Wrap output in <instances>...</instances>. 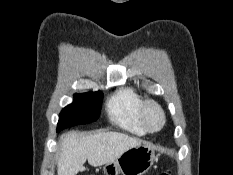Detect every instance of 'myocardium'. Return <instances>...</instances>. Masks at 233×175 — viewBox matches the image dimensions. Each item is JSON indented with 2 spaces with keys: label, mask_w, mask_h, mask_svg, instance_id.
Wrapping results in <instances>:
<instances>
[{
  "label": "myocardium",
  "mask_w": 233,
  "mask_h": 175,
  "mask_svg": "<svg viewBox=\"0 0 233 175\" xmlns=\"http://www.w3.org/2000/svg\"><path fill=\"white\" fill-rule=\"evenodd\" d=\"M150 108H154L159 113V115L161 117V124L158 128H152L149 124L148 111ZM140 118H141L143 125L145 126V128L149 132L160 131L165 126V123H166V115H165V112H164L162 106L157 101H155L153 99H146L143 101V103L141 104V107H140Z\"/></svg>",
  "instance_id": "1"
}]
</instances>
